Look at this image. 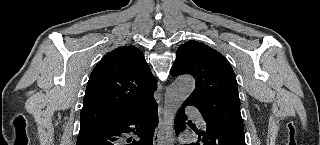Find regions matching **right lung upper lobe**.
Segmentation results:
<instances>
[{
	"label": "right lung upper lobe",
	"mask_w": 320,
	"mask_h": 145,
	"mask_svg": "<svg viewBox=\"0 0 320 145\" xmlns=\"http://www.w3.org/2000/svg\"><path fill=\"white\" fill-rule=\"evenodd\" d=\"M157 80L143 53L134 46L107 53L89 78L80 115V127L119 122L155 102Z\"/></svg>",
	"instance_id": "1"
}]
</instances>
